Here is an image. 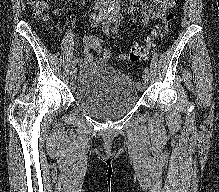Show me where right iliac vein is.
<instances>
[{"label": "right iliac vein", "instance_id": "1", "mask_svg": "<svg viewBox=\"0 0 219 192\" xmlns=\"http://www.w3.org/2000/svg\"><path fill=\"white\" fill-rule=\"evenodd\" d=\"M98 13L100 14L101 11H99ZM76 73H77V68H76V67H72V68H71V71H70V76H71L72 79L75 78Z\"/></svg>", "mask_w": 219, "mask_h": 192}]
</instances>
